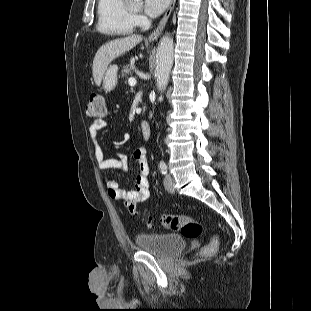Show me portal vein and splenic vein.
<instances>
[{"label":"portal vein and splenic vein","instance_id":"18ae733b","mask_svg":"<svg viewBox=\"0 0 311 311\" xmlns=\"http://www.w3.org/2000/svg\"><path fill=\"white\" fill-rule=\"evenodd\" d=\"M128 83L130 86H135L136 85V79L135 78H129Z\"/></svg>","mask_w":311,"mask_h":311}]
</instances>
